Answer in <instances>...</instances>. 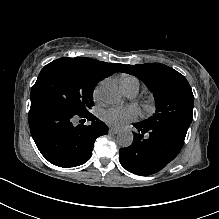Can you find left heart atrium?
<instances>
[{
	"label": "left heart atrium",
	"instance_id": "left-heart-atrium-1",
	"mask_svg": "<svg viewBox=\"0 0 219 219\" xmlns=\"http://www.w3.org/2000/svg\"><path fill=\"white\" fill-rule=\"evenodd\" d=\"M138 118V111L133 107L111 109L105 112L104 119L115 127H124Z\"/></svg>",
	"mask_w": 219,
	"mask_h": 219
}]
</instances>
